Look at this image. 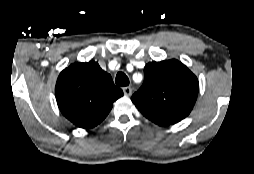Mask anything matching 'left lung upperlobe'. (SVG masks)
Instances as JSON below:
<instances>
[{"label": "left lung upper lobe", "instance_id": "left-lung-upper-lobe-1", "mask_svg": "<svg viewBox=\"0 0 254 174\" xmlns=\"http://www.w3.org/2000/svg\"><path fill=\"white\" fill-rule=\"evenodd\" d=\"M198 91L197 77L184 64L153 61L145 66L143 85L131 100L152 122L170 125L189 115Z\"/></svg>", "mask_w": 254, "mask_h": 174}]
</instances>
